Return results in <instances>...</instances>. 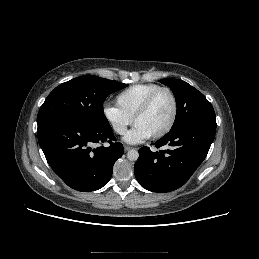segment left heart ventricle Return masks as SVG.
<instances>
[{
	"mask_svg": "<svg viewBox=\"0 0 259 259\" xmlns=\"http://www.w3.org/2000/svg\"><path fill=\"white\" fill-rule=\"evenodd\" d=\"M173 113V102L167 92H161L154 99L150 109L137 121V126L144 129L150 136L161 131L170 121Z\"/></svg>",
	"mask_w": 259,
	"mask_h": 259,
	"instance_id": "left-heart-ventricle-1",
	"label": "left heart ventricle"
}]
</instances>
